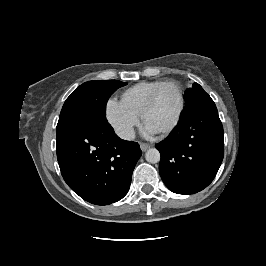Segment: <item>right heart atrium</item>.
Wrapping results in <instances>:
<instances>
[{"instance_id":"right-heart-atrium-1","label":"right heart atrium","mask_w":266,"mask_h":266,"mask_svg":"<svg viewBox=\"0 0 266 266\" xmlns=\"http://www.w3.org/2000/svg\"><path fill=\"white\" fill-rule=\"evenodd\" d=\"M105 116L116 134L131 139L139 123V114L130 109L122 100L109 98L105 104Z\"/></svg>"}]
</instances>
